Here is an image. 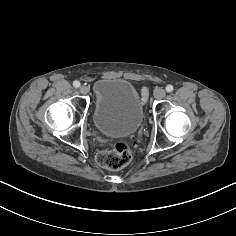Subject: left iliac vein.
<instances>
[{
    "label": "left iliac vein",
    "instance_id": "left-iliac-vein-1",
    "mask_svg": "<svg viewBox=\"0 0 236 236\" xmlns=\"http://www.w3.org/2000/svg\"><path fill=\"white\" fill-rule=\"evenodd\" d=\"M165 95H166L165 90L161 89V88L155 90V92H154V97L158 100L163 99L165 97Z\"/></svg>",
    "mask_w": 236,
    "mask_h": 236
}]
</instances>
